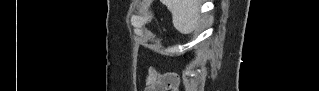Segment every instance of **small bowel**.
Instances as JSON below:
<instances>
[{"instance_id":"c3829d8e","label":"small bowel","mask_w":319,"mask_h":91,"mask_svg":"<svg viewBox=\"0 0 319 91\" xmlns=\"http://www.w3.org/2000/svg\"><path fill=\"white\" fill-rule=\"evenodd\" d=\"M160 76H161V73L155 71V72H153V73L151 74V77H149L148 81H149V82H154V81H155L157 78H159ZM175 83H176V80H175V79L172 80V81H170V84H171V85H175Z\"/></svg>"}]
</instances>
